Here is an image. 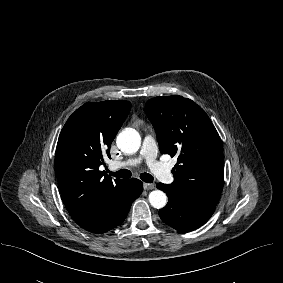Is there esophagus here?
I'll list each match as a JSON object with an SVG mask.
<instances>
[{
	"instance_id": "esophagus-1",
	"label": "esophagus",
	"mask_w": 283,
	"mask_h": 283,
	"mask_svg": "<svg viewBox=\"0 0 283 283\" xmlns=\"http://www.w3.org/2000/svg\"><path fill=\"white\" fill-rule=\"evenodd\" d=\"M143 187H144L145 190H152V189L155 188V185L154 184H149V183H144Z\"/></svg>"
}]
</instances>
